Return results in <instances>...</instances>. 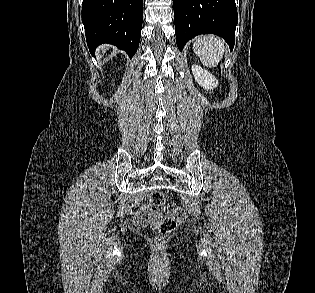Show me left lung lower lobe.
I'll return each instance as SVG.
<instances>
[{"label": "left lung lower lobe", "instance_id": "0a47b994", "mask_svg": "<svg viewBox=\"0 0 315 293\" xmlns=\"http://www.w3.org/2000/svg\"><path fill=\"white\" fill-rule=\"evenodd\" d=\"M173 6L179 50L201 34L221 36L233 49L238 22L235 0H173Z\"/></svg>", "mask_w": 315, "mask_h": 293}]
</instances>
